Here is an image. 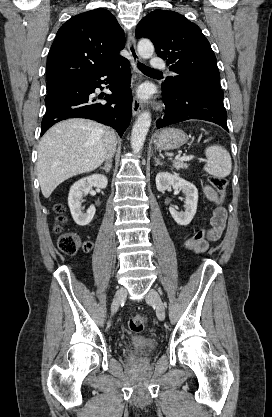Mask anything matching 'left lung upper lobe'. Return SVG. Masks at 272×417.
<instances>
[{"mask_svg": "<svg viewBox=\"0 0 272 417\" xmlns=\"http://www.w3.org/2000/svg\"><path fill=\"white\" fill-rule=\"evenodd\" d=\"M136 37L151 39L157 55L176 74L166 78L163 87L173 91L187 86L223 100L216 57L196 24L174 11L155 10L138 23Z\"/></svg>", "mask_w": 272, "mask_h": 417, "instance_id": "5c2ea615", "label": "left lung upper lobe"}]
</instances>
